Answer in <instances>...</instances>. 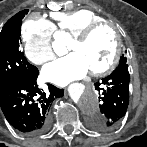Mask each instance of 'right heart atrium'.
Wrapping results in <instances>:
<instances>
[{
  "label": "right heart atrium",
  "instance_id": "1",
  "mask_svg": "<svg viewBox=\"0 0 147 147\" xmlns=\"http://www.w3.org/2000/svg\"><path fill=\"white\" fill-rule=\"evenodd\" d=\"M53 25L41 16L30 17L22 26L24 52L30 62L43 65L54 57Z\"/></svg>",
  "mask_w": 147,
  "mask_h": 147
}]
</instances>
